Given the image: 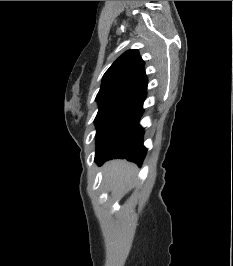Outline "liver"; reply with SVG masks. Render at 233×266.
I'll use <instances>...</instances> for the list:
<instances>
[{
	"instance_id": "6515ba94",
	"label": "liver",
	"mask_w": 233,
	"mask_h": 266,
	"mask_svg": "<svg viewBox=\"0 0 233 266\" xmlns=\"http://www.w3.org/2000/svg\"><path fill=\"white\" fill-rule=\"evenodd\" d=\"M136 166L126 160H113L104 165V178L112 193L124 192L132 187Z\"/></svg>"
}]
</instances>
